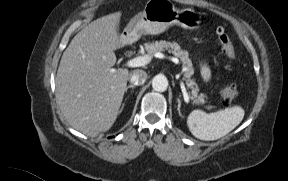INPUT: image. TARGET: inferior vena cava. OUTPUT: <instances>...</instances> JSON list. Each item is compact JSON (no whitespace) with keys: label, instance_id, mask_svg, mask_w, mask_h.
<instances>
[{"label":"inferior vena cava","instance_id":"1","mask_svg":"<svg viewBox=\"0 0 288 181\" xmlns=\"http://www.w3.org/2000/svg\"><path fill=\"white\" fill-rule=\"evenodd\" d=\"M147 79V73L143 70H133L130 73L129 80L133 85H142Z\"/></svg>","mask_w":288,"mask_h":181}]
</instances>
